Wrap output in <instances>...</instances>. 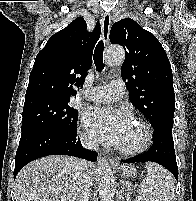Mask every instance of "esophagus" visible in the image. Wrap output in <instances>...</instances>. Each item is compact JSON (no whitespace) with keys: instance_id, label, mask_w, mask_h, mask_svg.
Segmentation results:
<instances>
[{"instance_id":"34e87169","label":"esophagus","mask_w":196,"mask_h":201,"mask_svg":"<svg viewBox=\"0 0 196 201\" xmlns=\"http://www.w3.org/2000/svg\"><path fill=\"white\" fill-rule=\"evenodd\" d=\"M110 25H111V15L109 13H105L102 16V39L105 44L109 41V33H110ZM110 163L112 165H118L119 161L117 159H110Z\"/></svg>"}]
</instances>
